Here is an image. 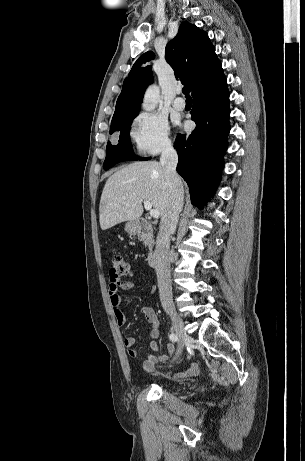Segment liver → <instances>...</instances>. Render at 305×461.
Returning <instances> with one entry per match:
<instances>
[{"mask_svg": "<svg viewBox=\"0 0 305 461\" xmlns=\"http://www.w3.org/2000/svg\"><path fill=\"white\" fill-rule=\"evenodd\" d=\"M169 195L164 169L159 162H135L123 167L111 175L104 186L99 206L101 229L139 220L145 200L162 217L168 207Z\"/></svg>", "mask_w": 305, "mask_h": 461, "instance_id": "1", "label": "liver"}]
</instances>
